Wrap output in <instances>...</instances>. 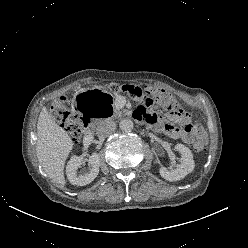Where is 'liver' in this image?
Returning <instances> with one entry per match:
<instances>
[{
  "mask_svg": "<svg viewBox=\"0 0 248 248\" xmlns=\"http://www.w3.org/2000/svg\"><path fill=\"white\" fill-rule=\"evenodd\" d=\"M72 148L71 137L43 108L37 123L36 154L44 172L61 187L66 183L64 166Z\"/></svg>",
  "mask_w": 248,
  "mask_h": 248,
  "instance_id": "1",
  "label": "liver"
}]
</instances>
